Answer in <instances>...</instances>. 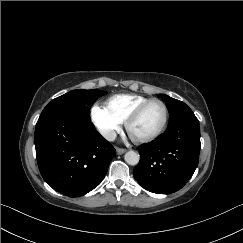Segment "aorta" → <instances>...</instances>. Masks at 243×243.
<instances>
[{
    "instance_id": "obj_1",
    "label": "aorta",
    "mask_w": 243,
    "mask_h": 243,
    "mask_svg": "<svg viewBox=\"0 0 243 243\" xmlns=\"http://www.w3.org/2000/svg\"><path fill=\"white\" fill-rule=\"evenodd\" d=\"M124 159L129 165H137L139 163L140 156L135 151H128L126 152Z\"/></svg>"
}]
</instances>
